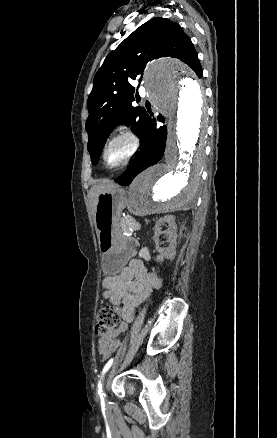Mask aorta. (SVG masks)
Instances as JSON below:
<instances>
[{
	"instance_id": "762f6f07",
	"label": "aorta",
	"mask_w": 277,
	"mask_h": 438,
	"mask_svg": "<svg viewBox=\"0 0 277 438\" xmlns=\"http://www.w3.org/2000/svg\"><path fill=\"white\" fill-rule=\"evenodd\" d=\"M153 106L166 118L169 138L163 162L132 183L129 209L138 216L166 213L194 196L204 167L205 105L200 83L179 62L162 58L145 69Z\"/></svg>"
}]
</instances>
